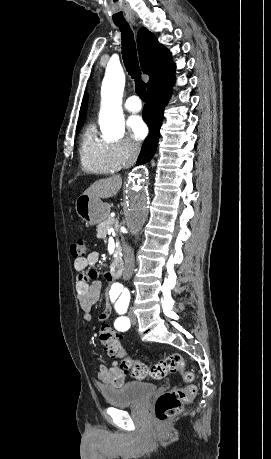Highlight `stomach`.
Here are the masks:
<instances>
[{
	"instance_id": "obj_1",
	"label": "stomach",
	"mask_w": 271,
	"mask_h": 459,
	"mask_svg": "<svg viewBox=\"0 0 271 459\" xmlns=\"http://www.w3.org/2000/svg\"><path fill=\"white\" fill-rule=\"evenodd\" d=\"M76 212L79 218L86 222L87 226H95L107 220L110 212L108 204H103L97 198L90 196H80L75 204Z\"/></svg>"
}]
</instances>
